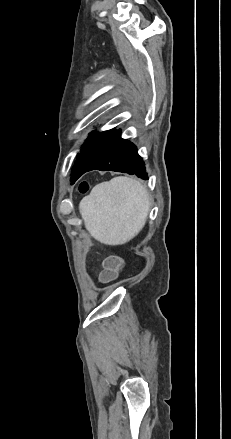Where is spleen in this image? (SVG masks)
<instances>
[{
    "label": "spleen",
    "mask_w": 231,
    "mask_h": 439,
    "mask_svg": "<svg viewBox=\"0 0 231 439\" xmlns=\"http://www.w3.org/2000/svg\"><path fill=\"white\" fill-rule=\"evenodd\" d=\"M149 195L137 180L115 177L96 185L79 204L90 234L108 245L124 244L143 228L149 212Z\"/></svg>",
    "instance_id": "obj_1"
}]
</instances>
